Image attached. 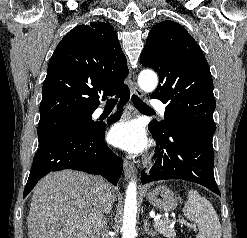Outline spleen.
<instances>
[{"instance_id":"obj_1","label":"spleen","mask_w":247,"mask_h":238,"mask_svg":"<svg viewBox=\"0 0 247 238\" xmlns=\"http://www.w3.org/2000/svg\"><path fill=\"white\" fill-rule=\"evenodd\" d=\"M183 213L197 225L199 232L196 238H221L222 228L214 207L197 191H188Z\"/></svg>"}]
</instances>
